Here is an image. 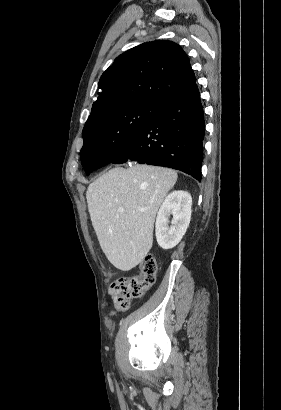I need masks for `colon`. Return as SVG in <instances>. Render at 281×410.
<instances>
[{
    "label": "colon",
    "instance_id": "1",
    "mask_svg": "<svg viewBox=\"0 0 281 410\" xmlns=\"http://www.w3.org/2000/svg\"><path fill=\"white\" fill-rule=\"evenodd\" d=\"M157 273V263L151 254H147L140 265L138 275L121 276L110 286V295L115 308L125 311L130 300L141 298L154 285Z\"/></svg>",
    "mask_w": 281,
    "mask_h": 410
}]
</instances>
